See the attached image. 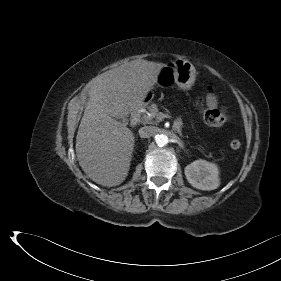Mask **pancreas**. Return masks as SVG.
Instances as JSON below:
<instances>
[{"instance_id":"obj_1","label":"pancreas","mask_w":281,"mask_h":281,"mask_svg":"<svg viewBox=\"0 0 281 281\" xmlns=\"http://www.w3.org/2000/svg\"><path fill=\"white\" fill-rule=\"evenodd\" d=\"M150 115L143 116V123L146 124H157L160 122V118L162 117V113L159 112L156 104H152L149 108Z\"/></svg>"}]
</instances>
